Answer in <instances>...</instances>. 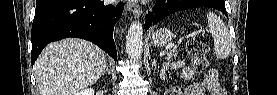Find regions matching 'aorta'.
I'll use <instances>...</instances> for the list:
<instances>
[{
    "label": "aorta",
    "instance_id": "aorta-1",
    "mask_svg": "<svg viewBox=\"0 0 277 95\" xmlns=\"http://www.w3.org/2000/svg\"><path fill=\"white\" fill-rule=\"evenodd\" d=\"M126 51L128 56L138 61L143 51V27L139 21H134L128 30L126 36Z\"/></svg>",
    "mask_w": 277,
    "mask_h": 95
}]
</instances>
